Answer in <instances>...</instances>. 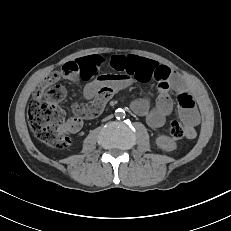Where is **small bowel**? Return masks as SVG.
<instances>
[{"instance_id": "c3829d8e", "label": "small bowel", "mask_w": 231, "mask_h": 231, "mask_svg": "<svg viewBox=\"0 0 231 231\" xmlns=\"http://www.w3.org/2000/svg\"><path fill=\"white\" fill-rule=\"evenodd\" d=\"M69 65L73 66L74 72L65 74L64 70ZM107 67L114 72H104ZM60 77L72 81L81 78L86 81L83 93L87 103L74 105L75 114L69 119V132L79 131L84 119L99 115L107 101L118 91L136 81H157L159 95L156 104L152 106L146 97L134 99L130 104L132 111L144 117L151 128H160L173 111L170 96L173 93L178 101L179 116L185 124L186 137L194 139L197 136L196 126L200 117L191 91L175 71L154 60L135 55H114L109 58L100 55L86 56L65 64L62 72L46 79L36 94Z\"/></svg>"}]
</instances>
